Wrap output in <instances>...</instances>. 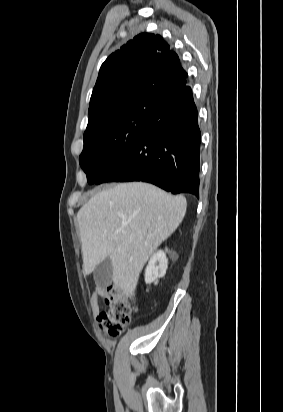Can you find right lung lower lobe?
<instances>
[{"label":"right lung lower lobe","mask_w":283,"mask_h":412,"mask_svg":"<svg viewBox=\"0 0 283 412\" xmlns=\"http://www.w3.org/2000/svg\"><path fill=\"white\" fill-rule=\"evenodd\" d=\"M201 133L192 90L174 93L125 154L94 184L144 181L199 198Z\"/></svg>","instance_id":"98d812e1"}]
</instances>
